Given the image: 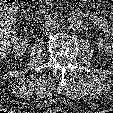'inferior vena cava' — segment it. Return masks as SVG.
I'll return each mask as SVG.
<instances>
[{"mask_svg":"<svg viewBox=\"0 0 113 113\" xmlns=\"http://www.w3.org/2000/svg\"><path fill=\"white\" fill-rule=\"evenodd\" d=\"M43 27L45 28L46 31H51V30H55V29L59 28L60 23L55 18H48L43 23Z\"/></svg>","mask_w":113,"mask_h":113,"instance_id":"inferior-vena-cava-1","label":"inferior vena cava"}]
</instances>
